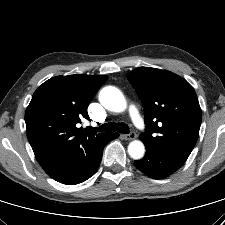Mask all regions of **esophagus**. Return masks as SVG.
<instances>
[{"mask_svg":"<svg viewBox=\"0 0 225 225\" xmlns=\"http://www.w3.org/2000/svg\"><path fill=\"white\" fill-rule=\"evenodd\" d=\"M122 137L125 139V140H134L137 135L135 132H131L130 134H127V135H122Z\"/></svg>","mask_w":225,"mask_h":225,"instance_id":"esophagus-1","label":"esophagus"}]
</instances>
